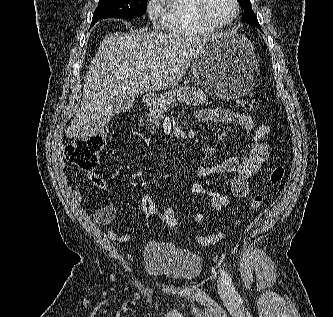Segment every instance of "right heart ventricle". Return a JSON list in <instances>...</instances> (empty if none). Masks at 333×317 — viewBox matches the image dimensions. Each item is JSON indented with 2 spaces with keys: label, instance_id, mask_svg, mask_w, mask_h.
Here are the masks:
<instances>
[{
  "label": "right heart ventricle",
  "instance_id": "obj_1",
  "mask_svg": "<svg viewBox=\"0 0 333 317\" xmlns=\"http://www.w3.org/2000/svg\"><path fill=\"white\" fill-rule=\"evenodd\" d=\"M164 29L167 33L184 38L199 37L214 30L203 26L195 17L194 0H166L162 3Z\"/></svg>",
  "mask_w": 333,
  "mask_h": 317
}]
</instances>
